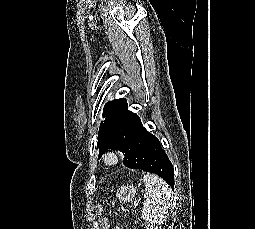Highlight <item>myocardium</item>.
I'll use <instances>...</instances> for the list:
<instances>
[{"label":"myocardium","instance_id":"f54148a6","mask_svg":"<svg viewBox=\"0 0 255 229\" xmlns=\"http://www.w3.org/2000/svg\"><path fill=\"white\" fill-rule=\"evenodd\" d=\"M103 161L107 166H115L120 161V154L117 151H108L104 154Z\"/></svg>","mask_w":255,"mask_h":229}]
</instances>
